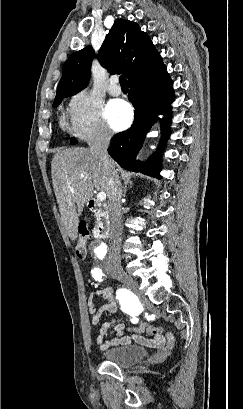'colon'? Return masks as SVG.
Segmentation results:
<instances>
[{
  "label": "colon",
  "mask_w": 243,
  "mask_h": 409,
  "mask_svg": "<svg viewBox=\"0 0 243 409\" xmlns=\"http://www.w3.org/2000/svg\"><path fill=\"white\" fill-rule=\"evenodd\" d=\"M80 235H81V238L79 239L76 245V255L78 258L82 259L85 257V254H86L85 239L90 236V232L86 225L80 226Z\"/></svg>",
  "instance_id": "5ec220e1"
}]
</instances>
